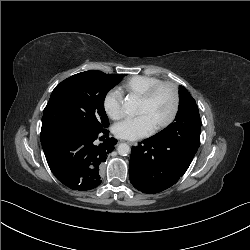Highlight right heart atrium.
I'll list each match as a JSON object with an SVG mask.
<instances>
[{
	"mask_svg": "<svg viewBox=\"0 0 250 250\" xmlns=\"http://www.w3.org/2000/svg\"><path fill=\"white\" fill-rule=\"evenodd\" d=\"M103 109L105 114L112 120L123 117V98L120 91L109 90L103 98Z\"/></svg>",
	"mask_w": 250,
	"mask_h": 250,
	"instance_id": "right-heart-atrium-1",
	"label": "right heart atrium"
}]
</instances>
